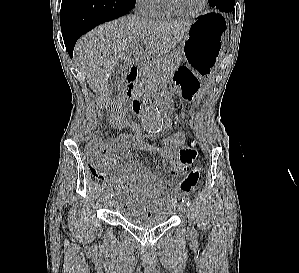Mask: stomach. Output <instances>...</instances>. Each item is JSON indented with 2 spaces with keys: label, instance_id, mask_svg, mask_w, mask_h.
<instances>
[{
  "label": "stomach",
  "instance_id": "stomach-1",
  "mask_svg": "<svg viewBox=\"0 0 299 273\" xmlns=\"http://www.w3.org/2000/svg\"><path fill=\"white\" fill-rule=\"evenodd\" d=\"M226 18L216 12L195 20L184 36L185 64L175 67L170 76L173 90L182 94L184 101H195L205 87V75L219 74L218 57L223 53ZM184 51V50H183Z\"/></svg>",
  "mask_w": 299,
  "mask_h": 273
}]
</instances>
